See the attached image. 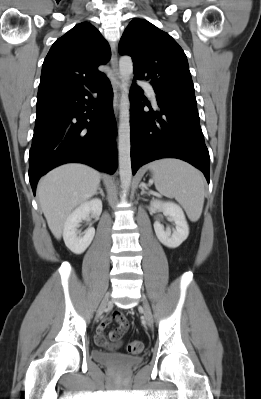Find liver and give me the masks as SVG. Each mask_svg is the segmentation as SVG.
I'll use <instances>...</instances> for the list:
<instances>
[{
	"label": "liver",
	"instance_id": "6515ba94",
	"mask_svg": "<svg viewBox=\"0 0 261 399\" xmlns=\"http://www.w3.org/2000/svg\"><path fill=\"white\" fill-rule=\"evenodd\" d=\"M101 174L83 164L62 165L38 183L37 195L49 229L60 239L71 211L91 198L100 184Z\"/></svg>",
	"mask_w": 261,
	"mask_h": 399
}]
</instances>
